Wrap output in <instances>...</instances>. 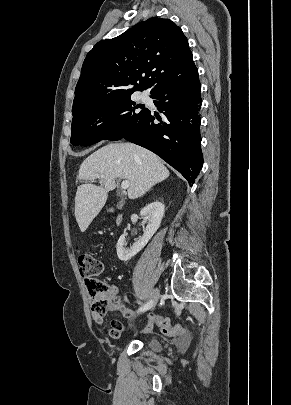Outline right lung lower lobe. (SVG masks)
Segmentation results:
<instances>
[{"label":"right lung lower lobe","instance_id":"right-lung-lower-lobe-1","mask_svg":"<svg viewBox=\"0 0 291 405\" xmlns=\"http://www.w3.org/2000/svg\"><path fill=\"white\" fill-rule=\"evenodd\" d=\"M200 90L198 73L159 87L152 98L163 118L148 110L143 120L123 137L159 155L178 170L190 186L203 164ZM155 119L160 123H154Z\"/></svg>","mask_w":291,"mask_h":405}]
</instances>
